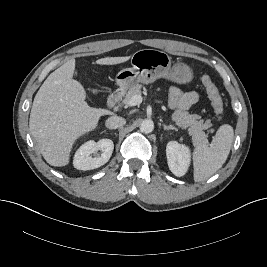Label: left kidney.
<instances>
[{
  "label": "left kidney",
  "instance_id": "5707ae66",
  "mask_svg": "<svg viewBox=\"0 0 267 267\" xmlns=\"http://www.w3.org/2000/svg\"><path fill=\"white\" fill-rule=\"evenodd\" d=\"M166 156L170 171L178 177L185 175L191 160L189 148L176 141H170L166 147Z\"/></svg>",
  "mask_w": 267,
  "mask_h": 267
}]
</instances>
